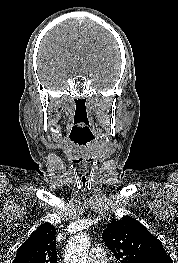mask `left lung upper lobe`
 <instances>
[{"label": "left lung upper lobe", "instance_id": "left-lung-upper-lobe-1", "mask_svg": "<svg viewBox=\"0 0 178 263\" xmlns=\"http://www.w3.org/2000/svg\"><path fill=\"white\" fill-rule=\"evenodd\" d=\"M102 239L121 263H173L162 242L135 219H114Z\"/></svg>", "mask_w": 178, "mask_h": 263}]
</instances>
